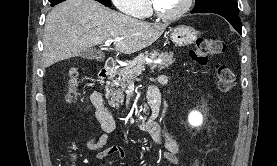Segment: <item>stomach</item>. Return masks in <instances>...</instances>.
<instances>
[{
  "label": "stomach",
  "mask_w": 277,
  "mask_h": 166,
  "mask_svg": "<svg viewBox=\"0 0 277 166\" xmlns=\"http://www.w3.org/2000/svg\"><path fill=\"white\" fill-rule=\"evenodd\" d=\"M170 37L177 46H189L197 39L198 32L191 26L179 25L172 30Z\"/></svg>",
  "instance_id": "obj_1"
}]
</instances>
